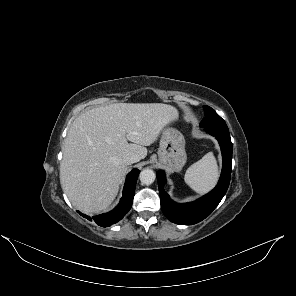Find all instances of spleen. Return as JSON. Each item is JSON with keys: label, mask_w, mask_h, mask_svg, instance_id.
Wrapping results in <instances>:
<instances>
[{"label": "spleen", "mask_w": 296, "mask_h": 296, "mask_svg": "<svg viewBox=\"0 0 296 296\" xmlns=\"http://www.w3.org/2000/svg\"><path fill=\"white\" fill-rule=\"evenodd\" d=\"M218 179V165L213 152H209L192 164L185 173L186 184L199 194L211 190Z\"/></svg>", "instance_id": "1"}]
</instances>
